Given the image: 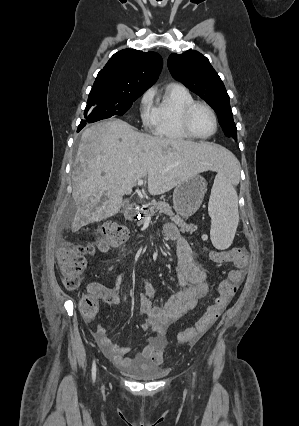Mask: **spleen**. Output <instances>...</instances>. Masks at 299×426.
<instances>
[{
  "instance_id": "1",
  "label": "spleen",
  "mask_w": 299,
  "mask_h": 426,
  "mask_svg": "<svg viewBox=\"0 0 299 426\" xmlns=\"http://www.w3.org/2000/svg\"><path fill=\"white\" fill-rule=\"evenodd\" d=\"M208 211L212 219L211 242L216 249L225 250L232 244L239 222L237 192L225 170L215 177Z\"/></svg>"
}]
</instances>
